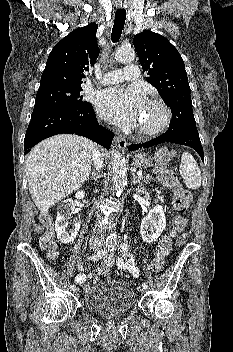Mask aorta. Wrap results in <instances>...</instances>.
I'll return each mask as SVG.
<instances>
[{"label":"aorta","instance_id":"aorta-1","mask_svg":"<svg viewBox=\"0 0 233 352\" xmlns=\"http://www.w3.org/2000/svg\"><path fill=\"white\" fill-rule=\"evenodd\" d=\"M116 58L120 62L132 61L135 58V52L132 48L120 47L116 52ZM112 181L116 191V195L120 196L127 184V167L125 160L118 151L112 152ZM116 234L112 233L108 241L114 242Z\"/></svg>","mask_w":233,"mask_h":352}]
</instances>
